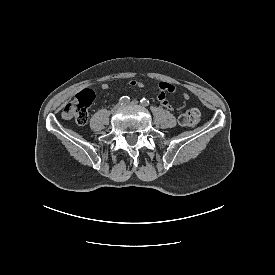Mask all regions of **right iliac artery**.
<instances>
[{"label": "right iliac artery", "mask_w": 275, "mask_h": 275, "mask_svg": "<svg viewBox=\"0 0 275 275\" xmlns=\"http://www.w3.org/2000/svg\"><path fill=\"white\" fill-rule=\"evenodd\" d=\"M129 101H130V98H129L128 96H122V97L119 99V103H120L121 105L127 104Z\"/></svg>", "instance_id": "obj_1"}]
</instances>
